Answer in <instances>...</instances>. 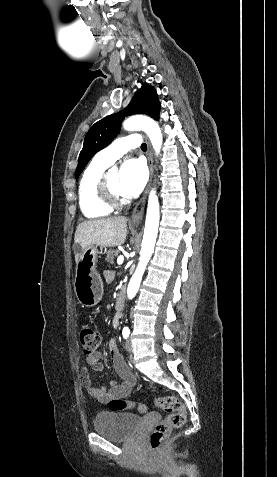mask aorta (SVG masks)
Wrapping results in <instances>:
<instances>
[{"mask_svg":"<svg viewBox=\"0 0 277 477\" xmlns=\"http://www.w3.org/2000/svg\"><path fill=\"white\" fill-rule=\"evenodd\" d=\"M123 127L127 131L143 130L149 137L156 154L160 152L163 137L159 125L151 118L145 116H132L124 121ZM111 172H116L115 168ZM160 219L159 201L154 189L148 198L147 214L144 236L138 266L129 282L127 296L133 299L139 289L145 268L152 256L158 233Z\"/></svg>","mask_w":277,"mask_h":477,"instance_id":"762f6f07","label":"aorta"}]
</instances>
